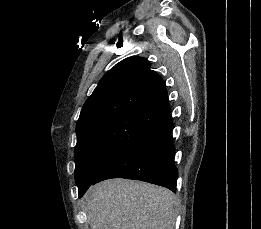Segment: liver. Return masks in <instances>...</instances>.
<instances>
[{"instance_id":"6515ba94","label":"liver","mask_w":261,"mask_h":229,"mask_svg":"<svg viewBox=\"0 0 261 229\" xmlns=\"http://www.w3.org/2000/svg\"><path fill=\"white\" fill-rule=\"evenodd\" d=\"M86 201L91 229H174L179 205L164 187L125 179L94 185Z\"/></svg>"}]
</instances>
